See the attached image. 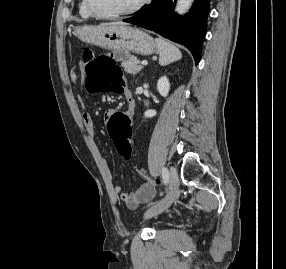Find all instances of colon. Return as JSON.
<instances>
[{
  "instance_id": "1",
  "label": "colon",
  "mask_w": 286,
  "mask_h": 269,
  "mask_svg": "<svg viewBox=\"0 0 286 269\" xmlns=\"http://www.w3.org/2000/svg\"><path fill=\"white\" fill-rule=\"evenodd\" d=\"M132 49H114L106 52V56L96 57L90 49L84 51V73L88 88L99 91L119 92L123 87V72L115 62H128ZM130 111H115L107 121L109 136L113 146L123 159H135L136 151L132 150L130 127L132 126Z\"/></svg>"
}]
</instances>
